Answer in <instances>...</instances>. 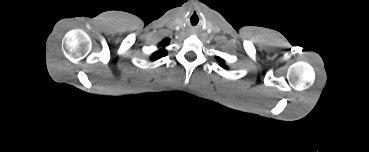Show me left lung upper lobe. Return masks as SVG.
Returning <instances> with one entry per match:
<instances>
[{
  "label": "left lung upper lobe",
  "mask_w": 369,
  "mask_h": 152,
  "mask_svg": "<svg viewBox=\"0 0 369 152\" xmlns=\"http://www.w3.org/2000/svg\"><path fill=\"white\" fill-rule=\"evenodd\" d=\"M216 59L219 61V65L222 66L223 68L227 69V67L225 66V62L223 59H221L220 57H216Z\"/></svg>",
  "instance_id": "obj_1"
}]
</instances>
